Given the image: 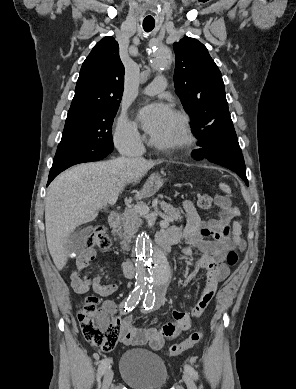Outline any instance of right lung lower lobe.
Here are the masks:
<instances>
[{"label":"right lung lower lobe","instance_id":"1","mask_svg":"<svg viewBox=\"0 0 296 389\" xmlns=\"http://www.w3.org/2000/svg\"><path fill=\"white\" fill-rule=\"evenodd\" d=\"M65 169H54L51 168L50 173H49V178H48V184L60 173ZM47 184V186H48Z\"/></svg>","mask_w":296,"mask_h":389}]
</instances>
